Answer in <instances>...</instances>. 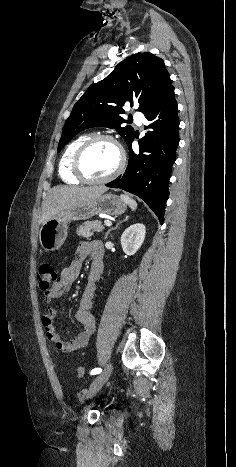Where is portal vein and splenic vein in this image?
I'll return each mask as SVG.
<instances>
[{
    "label": "portal vein and splenic vein",
    "mask_w": 236,
    "mask_h": 467,
    "mask_svg": "<svg viewBox=\"0 0 236 467\" xmlns=\"http://www.w3.org/2000/svg\"><path fill=\"white\" fill-rule=\"evenodd\" d=\"M104 224H105L106 226H108V227H110V226L112 225L111 221H109V220H105V221H104Z\"/></svg>",
    "instance_id": "portal-vein-and-splenic-vein-1"
}]
</instances>
